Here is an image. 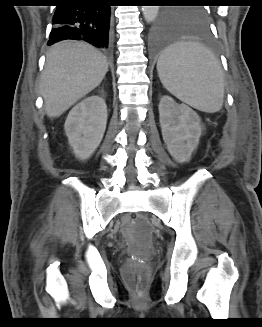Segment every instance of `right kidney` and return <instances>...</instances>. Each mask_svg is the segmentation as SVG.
Masks as SVG:
<instances>
[{
    "label": "right kidney",
    "instance_id": "right-kidney-1",
    "mask_svg": "<svg viewBox=\"0 0 262 327\" xmlns=\"http://www.w3.org/2000/svg\"><path fill=\"white\" fill-rule=\"evenodd\" d=\"M107 123V106L103 98L93 95L83 99L69 112L64 129L73 153L88 159L102 141Z\"/></svg>",
    "mask_w": 262,
    "mask_h": 327
}]
</instances>
